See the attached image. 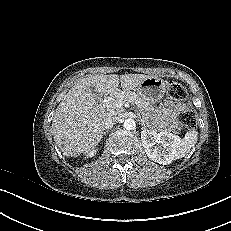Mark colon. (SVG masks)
Masks as SVG:
<instances>
[{
  "label": "colon",
  "mask_w": 231,
  "mask_h": 231,
  "mask_svg": "<svg viewBox=\"0 0 231 231\" xmlns=\"http://www.w3.org/2000/svg\"><path fill=\"white\" fill-rule=\"evenodd\" d=\"M168 96L176 101H186L188 99V92L186 88L176 82H171L167 87ZM196 112L190 106H184L179 115V122L186 128H193L196 125Z\"/></svg>",
  "instance_id": "colon-1"
}]
</instances>
